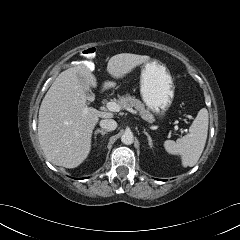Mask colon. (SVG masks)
Segmentation results:
<instances>
[{"instance_id": "obj_1", "label": "colon", "mask_w": 240, "mask_h": 240, "mask_svg": "<svg viewBox=\"0 0 240 240\" xmlns=\"http://www.w3.org/2000/svg\"><path fill=\"white\" fill-rule=\"evenodd\" d=\"M85 58H93L96 54L95 48H86L81 52Z\"/></svg>"}]
</instances>
